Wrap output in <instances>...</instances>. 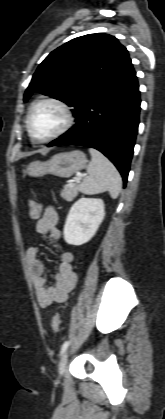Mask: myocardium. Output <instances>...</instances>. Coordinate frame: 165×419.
<instances>
[{"label":"myocardium","instance_id":"1","mask_svg":"<svg viewBox=\"0 0 165 419\" xmlns=\"http://www.w3.org/2000/svg\"><path fill=\"white\" fill-rule=\"evenodd\" d=\"M41 104H53L57 106L64 115V122L62 126L55 133L43 139L36 137L31 127L32 113L34 109ZM73 120H74L73 112L71 108L67 105V103L55 97H45V98L35 101L29 108L27 116H26V129L31 140L34 141L35 143H39V144L48 143L59 138L63 134H65L71 128L73 124Z\"/></svg>","mask_w":165,"mask_h":419}]
</instances>
